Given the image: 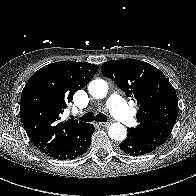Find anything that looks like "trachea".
Returning a JSON list of instances; mask_svg holds the SVG:
<instances>
[{"label": "trachea", "instance_id": "trachea-1", "mask_svg": "<svg viewBox=\"0 0 196 196\" xmlns=\"http://www.w3.org/2000/svg\"><path fill=\"white\" fill-rule=\"evenodd\" d=\"M79 120L84 121V122H92L94 120L98 122H107L108 119H107V116L102 113L94 115V113L88 112L84 114L82 117H80Z\"/></svg>", "mask_w": 196, "mask_h": 196}]
</instances>
